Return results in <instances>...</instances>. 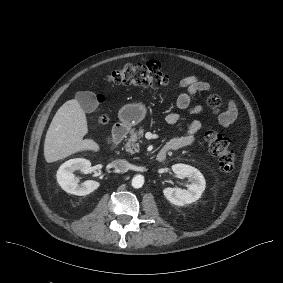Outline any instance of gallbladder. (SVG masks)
I'll return each mask as SVG.
<instances>
[{"label":"gallbladder","mask_w":283,"mask_h":283,"mask_svg":"<svg viewBox=\"0 0 283 283\" xmlns=\"http://www.w3.org/2000/svg\"><path fill=\"white\" fill-rule=\"evenodd\" d=\"M75 98L80 103L82 110L87 113L94 112L98 108L99 103L93 92L80 91L76 93ZM108 142L111 143V139H108Z\"/></svg>","instance_id":"gallbladder-1"}]
</instances>
